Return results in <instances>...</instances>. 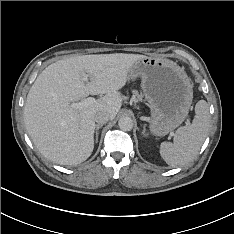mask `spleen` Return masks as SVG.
Instances as JSON below:
<instances>
[{"mask_svg": "<svg viewBox=\"0 0 234 234\" xmlns=\"http://www.w3.org/2000/svg\"><path fill=\"white\" fill-rule=\"evenodd\" d=\"M195 118L192 124L180 127L171 142H162L160 155L171 167L183 166L191 162L198 154L210 126L209 107L205 100L195 106Z\"/></svg>", "mask_w": 234, "mask_h": 234, "instance_id": "obj_1", "label": "spleen"}]
</instances>
